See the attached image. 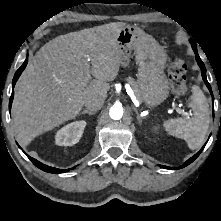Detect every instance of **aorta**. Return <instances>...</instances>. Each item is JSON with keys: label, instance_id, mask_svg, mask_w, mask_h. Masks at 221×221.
Returning a JSON list of instances; mask_svg holds the SVG:
<instances>
[{"label": "aorta", "instance_id": "1", "mask_svg": "<svg viewBox=\"0 0 221 221\" xmlns=\"http://www.w3.org/2000/svg\"><path fill=\"white\" fill-rule=\"evenodd\" d=\"M109 116L113 120H119L123 116V108L119 104H114L109 110Z\"/></svg>", "mask_w": 221, "mask_h": 221}]
</instances>
